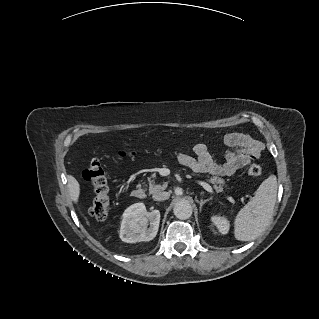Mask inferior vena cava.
I'll use <instances>...</instances> for the list:
<instances>
[{"label":"inferior vena cava","instance_id":"1","mask_svg":"<svg viewBox=\"0 0 319 319\" xmlns=\"http://www.w3.org/2000/svg\"><path fill=\"white\" fill-rule=\"evenodd\" d=\"M170 194L168 192H156L153 194L152 198L155 201H163L169 198Z\"/></svg>","mask_w":319,"mask_h":319}]
</instances>
